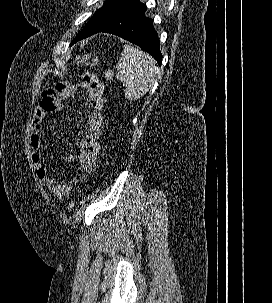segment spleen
Listing matches in <instances>:
<instances>
[{"instance_id": "spleen-1", "label": "spleen", "mask_w": 272, "mask_h": 303, "mask_svg": "<svg viewBox=\"0 0 272 303\" xmlns=\"http://www.w3.org/2000/svg\"><path fill=\"white\" fill-rule=\"evenodd\" d=\"M116 77L125 85V97L138 100L156 82L159 68L147 53L125 44L116 65Z\"/></svg>"}]
</instances>
